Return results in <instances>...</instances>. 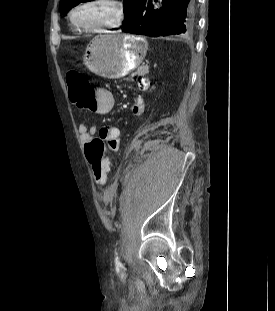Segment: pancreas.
<instances>
[{
    "mask_svg": "<svg viewBox=\"0 0 275 311\" xmlns=\"http://www.w3.org/2000/svg\"><path fill=\"white\" fill-rule=\"evenodd\" d=\"M148 71V67L147 66H140L137 68L136 72L134 73V75H145Z\"/></svg>",
    "mask_w": 275,
    "mask_h": 311,
    "instance_id": "obj_1",
    "label": "pancreas"
}]
</instances>
